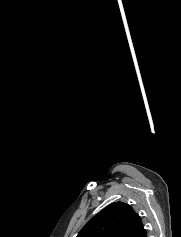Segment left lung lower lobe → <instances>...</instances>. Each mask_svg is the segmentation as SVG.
<instances>
[{
	"label": "left lung lower lobe",
	"mask_w": 181,
	"mask_h": 237,
	"mask_svg": "<svg viewBox=\"0 0 181 237\" xmlns=\"http://www.w3.org/2000/svg\"><path fill=\"white\" fill-rule=\"evenodd\" d=\"M142 237H147V233L145 232V233L142 235Z\"/></svg>",
	"instance_id": "left-lung-lower-lobe-1"
}]
</instances>
